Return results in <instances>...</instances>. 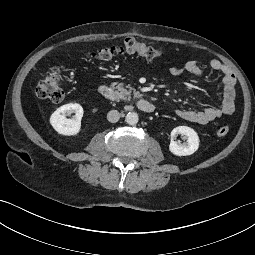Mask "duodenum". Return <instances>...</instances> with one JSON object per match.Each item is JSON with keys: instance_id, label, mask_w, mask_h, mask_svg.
I'll use <instances>...</instances> for the list:
<instances>
[{"instance_id": "1", "label": "duodenum", "mask_w": 255, "mask_h": 255, "mask_svg": "<svg viewBox=\"0 0 255 255\" xmlns=\"http://www.w3.org/2000/svg\"><path fill=\"white\" fill-rule=\"evenodd\" d=\"M99 92L106 100H109V101H113L117 97V94L114 91V89L106 84H102L99 86ZM136 105H137V108L144 113H151L155 109L154 104L146 99L138 100Z\"/></svg>"}]
</instances>
